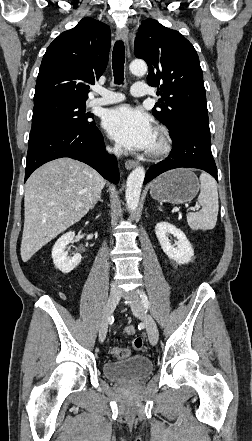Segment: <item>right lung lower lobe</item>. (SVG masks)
Segmentation results:
<instances>
[{
	"instance_id": "obj_1",
	"label": "right lung lower lobe",
	"mask_w": 252,
	"mask_h": 441,
	"mask_svg": "<svg viewBox=\"0 0 252 441\" xmlns=\"http://www.w3.org/2000/svg\"><path fill=\"white\" fill-rule=\"evenodd\" d=\"M61 157L82 161L105 179L114 184L119 182L116 157L106 153L103 136L94 122L85 127L32 128L28 141L25 181L39 166Z\"/></svg>"
}]
</instances>
